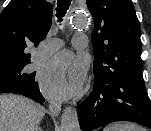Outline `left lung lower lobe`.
<instances>
[{
  "label": "left lung lower lobe",
  "instance_id": "left-lung-lower-lobe-1",
  "mask_svg": "<svg viewBox=\"0 0 151 131\" xmlns=\"http://www.w3.org/2000/svg\"><path fill=\"white\" fill-rule=\"evenodd\" d=\"M141 71L136 68L111 82L94 84L93 92L77 107L81 130L115 121L137 122L151 129V102Z\"/></svg>",
  "mask_w": 151,
  "mask_h": 131
}]
</instances>
